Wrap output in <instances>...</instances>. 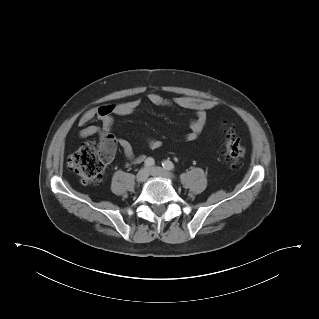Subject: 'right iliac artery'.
<instances>
[{
  "label": "right iliac artery",
  "mask_w": 319,
  "mask_h": 319,
  "mask_svg": "<svg viewBox=\"0 0 319 319\" xmlns=\"http://www.w3.org/2000/svg\"><path fill=\"white\" fill-rule=\"evenodd\" d=\"M154 159L153 158H151V157H149V158H147L146 160H145V166L146 167H151V166H153L154 165Z\"/></svg>",
  "instance_id": "right-iliac-artery-1"
}]
</instances>
